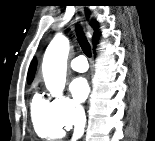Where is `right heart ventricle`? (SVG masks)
<instances>
[{"label": "right heart ventricle", "mask_w": 155, "mask_h": 141, "mask_svg": "<svg viewBox=\"0 0 155 141\" xmlns=\"http://www.w3.org/2000/svg\"><path fill=\"white\" fill-rule=\"evenodd\" d=\"M31 117L34 129L41 138H59L64 129L55 117L52 101L35 93L31 99Z\"/></svg>", "instance_id": "obj_1"}]
</instances>
